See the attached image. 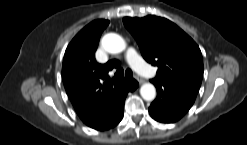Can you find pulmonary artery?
<instances>
[{
	"label": "pulmonary artery",
	"mask_w": 247,
	"mask_h": 145,
	"mask_svg": "<svg viewBox=\"0 0 247 145\" xmlns=\"http://www.w3.org/2000/svg\"><path fill=\"white\" fill-rule=\"evenodd\" d=\"M125 57L127 62L139 73L150 76L152 74L151 68H149L144 61L140 58L137 52L133 48H129L126 53Z\"/></svg>",
	"instance_id": "obj_1"
}]
</instances>
